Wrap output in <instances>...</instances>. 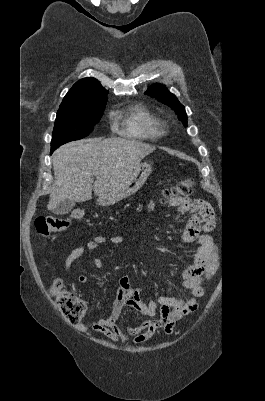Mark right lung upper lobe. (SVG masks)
Returning a JSON list of instances; mask_svg holds the SVG:
<instances>
[{
	"label": "right lung upper lobe",
	"instance_id": "cb5924a9",
	"mask_svg": "<svg viewBox=\"0 0 265 401\" xmlns=\"http://www.w3.org/2000/svg\"><path fill=\"white\" fill-rule=\"evenodd\" d=\"M108 91L105 90L95 78H83L76 82L65 95L60 106L67 104L107 99Z\"/></svg>",
	"mask_w": 265,
	"mask_h": 401
}]
</instances>
